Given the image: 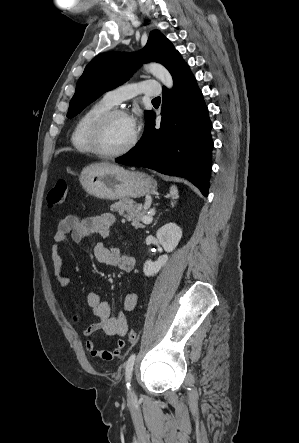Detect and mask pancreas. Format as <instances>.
Instances as JSON below:
<instances>
[{
    "label": "pancreas",
    "mask_w": 299,
    "mask_h": 443,
    "mask_svg": "<svg viewBox=\"0 0 299 443\" xmlns=\"http://www.w3.org/2000/svg\"><path fill=\"white\" fill-rule=\"evenodd\" d=\"M110 210L112 212H118L124 218L131 221L132 226L136 229H143L145 227L142 223V219L146 216V212L141 210L139 205L135 204L132 199L123 198L112 204Z\"/></svg>",
    "instance_id": "pancreas-1"
}]
</instances>
